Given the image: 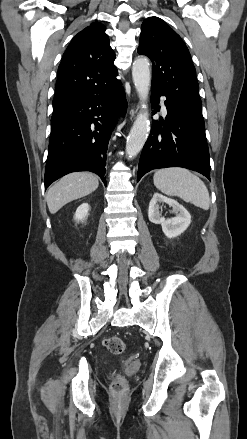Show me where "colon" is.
<instances>
[{"instance_id": "obj_1", "label": "colon", "mask_w": 247, "mask_h": 439, "mask_svg": "<svg viewBox=\"0 0 247 439\" xmlns=\"http://www.w3.org/2000/svg\"><path fill=\"white\" fill-rule=\"evenodd\" d=\"M104 346L113 354H121L126 349L125 342L116 336L108 337L104 340ZM126 387L124 377L117 373L111 374L110 389L114 394H122Z\"/></svg>"}]
</instances>
